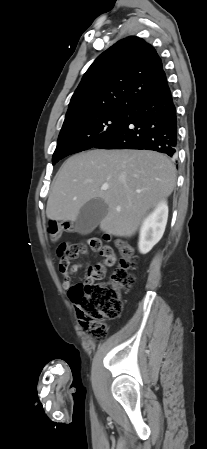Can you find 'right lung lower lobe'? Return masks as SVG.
Instances as JSON below:
<instances>
[{
  "label": "right lung lower lobe",
  "instance_id": "1",
  "mask_svg": "<svg viewBox=\"0 0 207 449\" xmlns=\"http://www.w3.org/2000/svg\"><path fill=\"white\" fill-rule=\"evenodd\" d=\"M177 141V112L169 91L137 107L120 129L94 148L146 149L174 157Z\"/></svg>",
  "mask_w": 207,
  "mask_h": 449
}]
</instances>
